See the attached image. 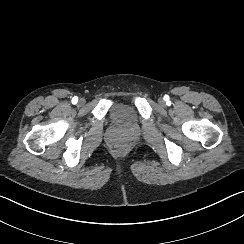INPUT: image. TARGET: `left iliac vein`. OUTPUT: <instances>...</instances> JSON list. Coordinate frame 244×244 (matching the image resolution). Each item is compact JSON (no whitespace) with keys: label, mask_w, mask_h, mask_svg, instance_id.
Listing matches in <instances>:
<instances>
[{"label":"left iliac vein","mask_w":244,"mask_h":244,"mask_svg":"<svg viewBox=\"0 0 244 244\" xmlns=\"http://www.w3.org/2000/svg\"><path fill=\"white\" fill-rule=\"evenodd\" d=\"M158 104L163 107L165 105V102L163 99H159Z\"/></svg>","instance_id":"4c4485c4"}]
</instances>
